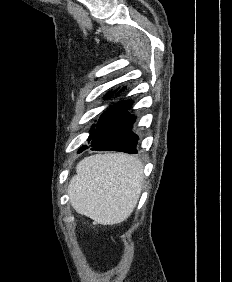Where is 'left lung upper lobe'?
I'll return each instance as SVG.
<instances>
[{
	"instance_id": "1",
	"label": "left lung upper lobe",
	"mask_w": 232,
	"mask_h": 282,
	"mask_svg": "<svg viewBox=\"0 0 232 282\" xmlns=\"http://www.w3.org/2000/svg\"><path fill=\"white\" fill-rule=\"evenodd\" d=\"M112 94H113L112 92L108 93V94H107V96H106V98L111 97V96H112ZM93 131H94V129H92V130H91L90 137H91V135H92ZM90 137H89V138H90Z\"/></svg>"
}]
</instances>
